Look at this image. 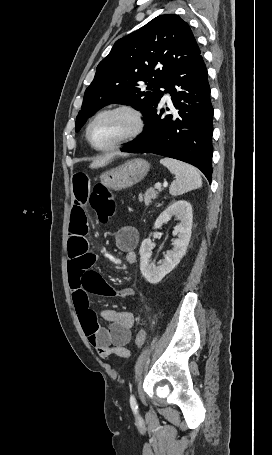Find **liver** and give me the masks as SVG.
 I'll return each mask as SVG.
<instances>
[{
	"mask_svg": "<svg viewBox=\"0 0 272 455\" xmlns=\"http://www.w3.org/2000/svg\"><path fill=\"white\" fill-rule=\"evenodd\" d=\"M113 154H108L103 157H99L90 164V168H99L107 165L113 158Z\"/></svg>",
	"mask_w": 272,
	"mask_h": 455,
	"instance_id": "1",
	"label": "liver"
}]
</instances>
